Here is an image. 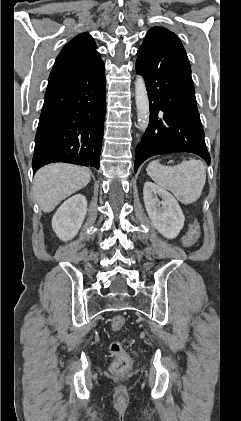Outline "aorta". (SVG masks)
<instances>
[{
	"label": "aorta",
	"mask_w": 241,
	"mask_h": 421,
	"mask_svg": "<svg viewBox=\"0 0 241 421\" xmlns=\"http://www.w3.org/2000/svg\"><path fill=\"white\" fill-rule=\"evenodd\" d=\"M135 102L138 119V128L145 132L149 124V100L144 78L141 75L135 81Z\"/></svg>",
	"instance_id": "1"
}]
</instances>
